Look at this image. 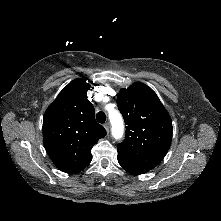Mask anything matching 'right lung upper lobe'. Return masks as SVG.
Masks as SVG:
<instances>
[{
  "instance_id": "1",
  "label": "right lung upper lobe",
  "mask_w": 221,
  "mask_h": 221,
  "mask_svg": "<svg viewBox=\"0 0 221 221\" xmlns=\"http://www.w3.org/2000/svg\"><path fill=\"white\" fill-rule=\"evenodd\" d=\"M89 88L85 80L74 79L47 108L43 118L46 151L56 167L69 174L90 164L91 148L106 135L87 99Z\"/></svg>"
}]
</instances>
